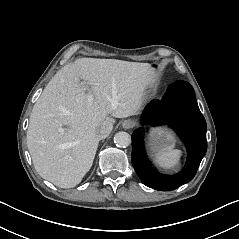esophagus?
<instances>
[{
	"instance_id": "obj_1",
	"label": "esophagus",
	"mask_w": 239,
	"mask_h": 239,
	"mask_svg": "<svg viewBox=\"0 0 239 239\" xmlns=\"http://www.w3.org/2000/svg\"><path fill=\"white\" fill-rule=\"evenodd\" d=\"M136 125V122L132 119H127L122 122V127L124 129H130L133 128Z\"/></svg>"
}]
</instances>
